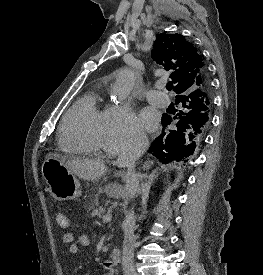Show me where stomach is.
<instances>
[{"mask_svg":"<svg viewBox=\"0 0 263 275\" xmlns=\"http://www.w3.org/2000/svg\"><path fill=\"white\" fill-rule=\"evenodd\" d=\"M42 175L55 200H72L81 195L78 179L60 160L47 157L42 164Z\"/></svg>","mask_w":263,"mask_h":275,"instance_id":"obj_1","label":"stomach"}]
</instances>
